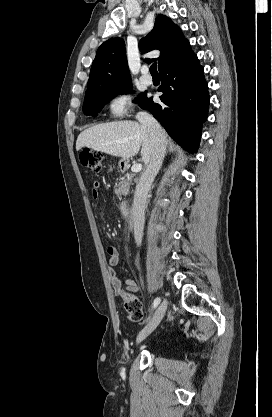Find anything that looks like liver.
Masks as SVG:
<instances>
[{
    "label": "liver",
    "mask_w": 272,
    "mask_h": 417,
    "mask_svg": "<svg viewBox=\"0 0 272 417\" xmlns=\"http://www.w3.org/2000/svg\"><path fill=\"white\" fill-rule=\"evenodd\" d=\"M167 142V135L165 134ZM88 147L113 156L128 159L137 155L145 165L150 162L152 146L145 127L135 121H116L94 125L82 131L76 141V150Z\"/></svg>",
    "instance_id": "obj_1"
}]
</instances>
